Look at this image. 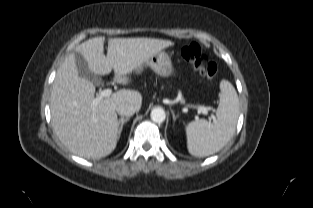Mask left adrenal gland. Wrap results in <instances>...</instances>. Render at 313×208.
Returning <instances> with one entry per match:
<instances>
[{
    "instance_id": "left-adrenal-gland-1",
    "label": "left adrenal gland",
    "mask_w": 313,
    "mask_h": 208,
    "mask_svg": "<svg viewBox=\"0 0 313 208\" xmlns=\"http://www.w3.org/2000/svg\"><path fill=\"white\" fill-rule=\"evenodd\" d=\"M171 113H172L173 120L175 121L178 115L176 116L173 110H171Z\"/></svg>"
}]
</instances>
